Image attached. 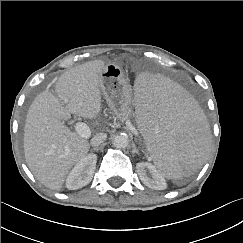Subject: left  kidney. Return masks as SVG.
Segmentation results:
<instances>
[{"label": "left kidney", "mask_w": 243, "mask_h": 243, "mask_svg": "<svg viewBox=\"0 0 243 243\" xmlns=\"http://www.w3.org/2000/svg\"><path fill=\"white\" fill-rule=\"evenodd\" d=\"M136 169L141 181L146 186L157 190H163L166 187L165 179L151 163L139 162L136 165ZM147 171L151 174L152 178L148 176Z\"/></svg>", "instance_id": "5707ae66"}]
</instances>
